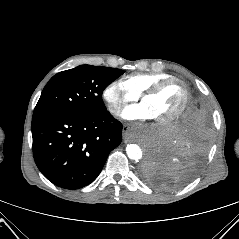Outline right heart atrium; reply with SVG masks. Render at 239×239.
<instances>
[{
	"label": "right heart atrium",
	"mask_w": 239,
	"mask_h": 239,
	"mask_svg": "<svg viewBox=\"0 0 239 239\" xmlns=\"http://www.w3.org/2000/svg\"><path fill=\"white\" fill-rule=\"evenodd\" d=\"M102 97L109 112L118 116L127 103L136 101L139 95L129 89L123 81L114 80L103 90Z\"/></svg>",
	"instance_id": "1"
}]
</instances>
